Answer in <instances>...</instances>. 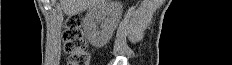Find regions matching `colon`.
Segmentation results:
<instances>
[{"label": "colon", "instance_id": "5ec220e1", "mask_svg": "<svg viewBox=\"0 0 232 65\" xmlns=\"http://www.w3.org/2000/svg\"><path fill=\"white\" fill-rule=\"evenodd\" d=\"M65 52L68 54V65H89L90 55L83 31V18L78 14L70 15L63 29Z\"/></svg>", "mask_w": 232, "mask_h": 65}]
</instances>
